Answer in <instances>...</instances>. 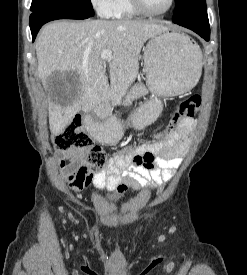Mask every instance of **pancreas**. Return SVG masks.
<instances>
[{
    "label": "pancreas",
    "instance_id": "1",
    "mask_svg": "<svg viewBox=\"0 0 247 275\" xmlns=\"http://www.w3.org/2000/svg\"><path fill=\"white\" fill-rule=\"evenodd\" d=\"M148 93L147 88L143 85V83L135 84L130 91L127 93L125 98V103H129L135 99H138L142 96H145Z\"/></svg>",
    "mask_w": 247,
    "mask_h": 275
}]
</instances>
